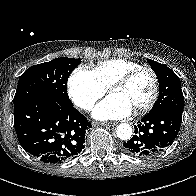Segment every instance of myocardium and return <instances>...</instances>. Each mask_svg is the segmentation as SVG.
<instances>
[{
    "label": "myocardium",
    "mask_w": 196,
    "mask_h": 196,
    "mask_svg": "<svg viewBox=\"0 0 196 196\" xmlns=\"http://www.w3.org/2000/svg\"><path fill=\"white\" fill-rule=\"evenodd\" d=\"M148 72L150 73L152 79H153V90L150 98L148 101L140 106L139 108L134 110V113L136 114H142L147 111H149L154 104L156 103L158 96H159V89H160V82H159V77L156 73V71L149 67V66H140L135 69L130 70L129 72L125 73L118 79H116L109 87H108V92L111 93L112 90L116 88H121L127 85L135 76H137L141 72Z\"/></svg>",
    "instance_id": "myocardium-1"
}]
</instances>
